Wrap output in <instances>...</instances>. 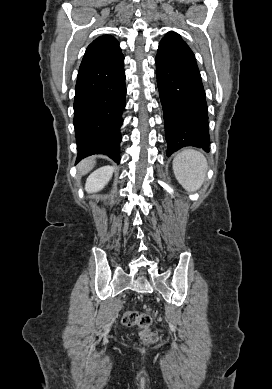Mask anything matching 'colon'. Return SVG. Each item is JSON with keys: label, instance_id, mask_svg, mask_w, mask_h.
I'll list each match as a JSON object with an SVG mask.
<instances>
[{"label": "colon", "instance_id": "obj_1", "mask_svg": "<svg viewBox=\"0 0 272 389\" xmlns=\"http://www.w3.org/2000/svg\"><path fill=\"white\" fill-rule=\"evenodd\" d=\"M121 321L126 327L138 326L140 328V338L144 344L151 345L157 341V333L151 330L153 318L150 313L127 311L123 314Z\"/></svg>", "mask_w": 272, "mask_h": 389}]
</instances>
